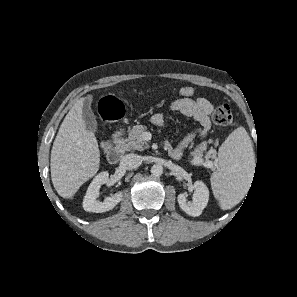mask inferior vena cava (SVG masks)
Instances as JSON below:
<instances>
[{
    "label": "inferior vena cava",
    "instance_id": "602c4592",
    "mask_svg": "<svg viewBox=\"0 0 297 297\" xmlns=\"http://www.w3.org/2000/svg\"><path fill=\"white\" fill-rule=\"evenodd\" d=\"M141 163L142 157L134 153L126 154L121 159V165L126 169H135L140 166Z\"/></svg>",
    "mask_w": 297,
    "mask_h": 297
}]
</instances>
